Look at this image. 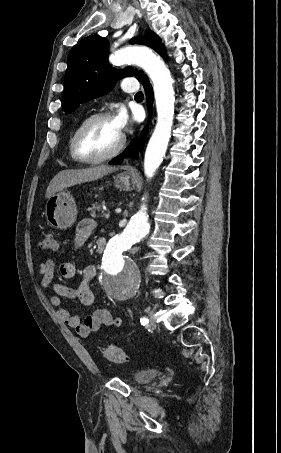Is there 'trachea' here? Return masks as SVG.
Masks as SVG:
<instances>
[{"label":"trachea","mask_w":281,"mask_h":453,"mask_svg":"<svg viewBox=\"0 0 281 453\" xmlns=\"http://www.w3.org/2000/svg\"><path fill=\"white\" fill-rule=\"evenodd\" d=\"M135 97H144L143 93L142 92H137Z\"/></svg>","instance_id":"3493384b"}]
</instances>
